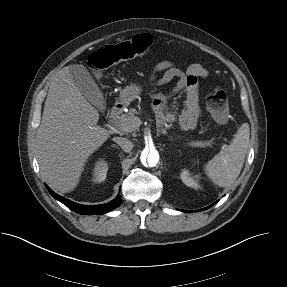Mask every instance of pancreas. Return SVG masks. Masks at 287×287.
I'll use <instances>...</instances> for the list:
<instances>
[{"label": "pancreas", "mask_w": 287, "mask_h": 287, "mask_svg": "<svg viewBox=\"0 0 287 287\" xmlns=\"http://www.w3.org/2000/svg\"><path fill=\"white\" fill-rule=\"evenodd\" d=\"M139 114L135 108H131L128 113L123 114L119 119L120 130L125 133H135L139 130L140 120H136V115ZM212 141L204 142L205 146H210Z\"/></svg>", "instance_id": "cf45deb5"}]
</instances>
